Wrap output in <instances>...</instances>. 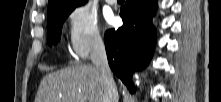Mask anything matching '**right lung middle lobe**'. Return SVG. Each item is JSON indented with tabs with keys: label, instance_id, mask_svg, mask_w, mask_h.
<instances>
[{
	"label": "right lung middle lobe",
	"instance_id": "obj_1",
	"mask_svg": "<svg viewBox=\"0 0 221 102\" xmlns=\"http://www.w3.org/2000/svg\"><path fill=\"white\" fill-rule=\"evenodd\" d=\"M75 8L76 7L61 10L58 13H56L53 17L48 19L47 41H48L49 46H52L53 44L58 43L61 37V30H62L63 23L66 20V18L69 16V14Z\"/></svg>",
	"mask_w": 221,
	"mask_h": 102
}]
</instances>
